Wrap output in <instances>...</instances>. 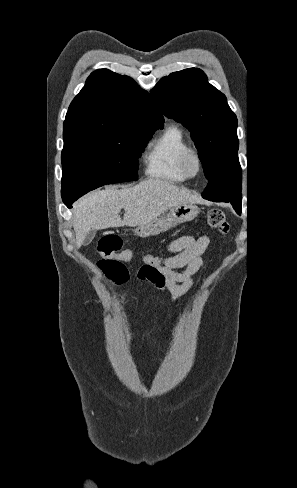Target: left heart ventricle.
I'll use <instances>...</instances> for the list:
<instances>
[{
	"label": "left heart ventricle",
	"mask_w": 297,
	"mask_h": 488,
	"mask_svg": "<svg viewBox=\"0 0 297 488\" xmlns=\"http://www.w3.org/2000/svg\"><path fill=\"white\" fill-rule=\"evenodd\" d=\"M190 168H191L192 171H195L196 170V168H197V162H196L195 159H191V161H190Z\"/></svg>",
	"instance_id": "1"
}]
</instances>
